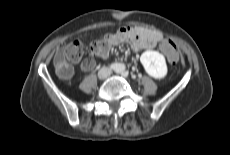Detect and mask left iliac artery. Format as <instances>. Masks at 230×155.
Wrapping results in <instances>:
<instances>
[{
    "label": "left iliac artery",
    "mask_w": 230,
    "mask_h": 155,
    "mask_svg": "<svg viewBox=\"0 0 230 155\" xmlns=\"http://www.w3.org/2000/svg\"><path fill=\"white\" fill-rule=\"evenodd\" d=\"M119 71L123 73V69L122 68L117 70V72H119Z\"/></svg>",
    "instance_id": "44dca946"
}]
</instances>
